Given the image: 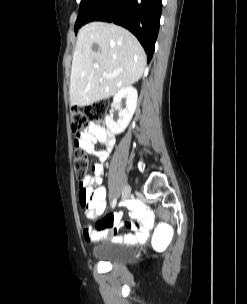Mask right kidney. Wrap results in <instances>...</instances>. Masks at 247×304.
<instances>
[{"mask_svg": "<svg viewBox=\"0 0 247 304\" xmlns=\"http://www.w3.org/2000/svg\"><path fill=\"white\" fill-rule=\"evenodd\" d=\"M123 98H126V108L120 110L117 122L113 120L112 116L108 115L105 118L106 126L113 134L122 133L130 123L137 106V90L132 86L121 88L114 95L112 108L119 106Z\"/></svg>", "mask_w": 247, "mask_h": 304, "instance_id": "1", "label": "right kidney"}]
</instances>
